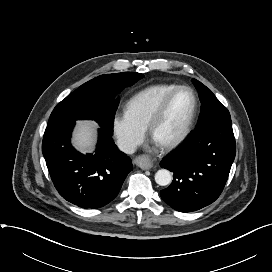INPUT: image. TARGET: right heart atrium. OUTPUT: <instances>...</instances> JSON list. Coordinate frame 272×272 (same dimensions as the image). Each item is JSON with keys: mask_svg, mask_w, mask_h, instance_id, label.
I'll return each instance as SVG.
<instances>
[{"mask_svg": "<svg viewBox=\"0 0 272 272\" xmlns=\"http://www.w3.org/2000/svg\"><path fill=\"white\" fill-rule=\"evenodd\" d=\"M112 130L118 147L125 153H133L145 137V129L135 123L126 112L114 115Z\"/></svg>", "mask_w": 272, "mask_h": 272, "instance_id": "right-heart-atrium-1", "label": "right heart atrium"}]
</instances>
